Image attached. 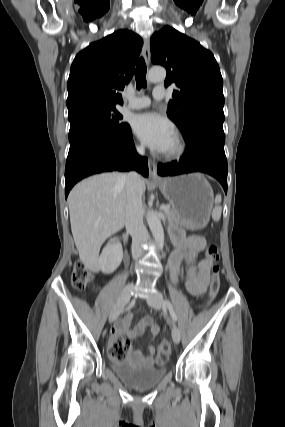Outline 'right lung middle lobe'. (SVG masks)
I'll use <instances>...</instances> for the list:
<instances>
[{
  "label": "right lung middle lobe",
  "mask_w": 285,
  "mask_h": 427,
  "mask_svg": "<svg viewBox=\"0 0 285 427\" xmlns=\"http://www.w3.org/2000/svg\"><path fill=\"white\" fill-rule=\"evenodd\" d=\"M70 121L69 141L87 130H101L113 136L127 132L129 125L115 106H91L68 115Z\"/></svg>",
  "instance_id": "dd1d6c3e"
}]
</instances>
